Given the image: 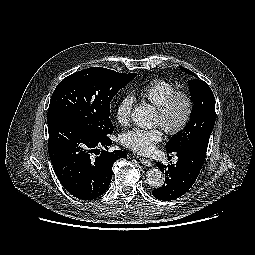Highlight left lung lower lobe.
I'll return each instance as SVG.
<instances>
[{"label":"left lung lower lobe","instance_id":"left-lung-lower-lobe-1","mask_svg":"<svg viewBox=\"0 0 255 255\" xmlns=\"http://www.w3.org/2000/svg\"><path fill=\"white\" fill-rule=\"evenodd\" d=\"M176 153V165L157 163V167L165 172L164 185L152 191L153 196L159 200L170 201L185 194L196 181L206 157V151L198 148Z\"/></svg>","mask_w":255,"mask_h":255}]
</instances>
